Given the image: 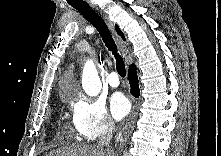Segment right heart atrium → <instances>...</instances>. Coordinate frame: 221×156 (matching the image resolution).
<instances>
[{"label":"right heart atrium","mask_w":221,"mask_h":156,"mask_svg":"<svg viewBox=\"0 0 221 156\" xmlns=\"http://www.w3.org/2000/svg\"><path fill=\"white\" fill-rule=\"evenodd\" d=\"M72 124L77 136L85 142H93L111 134L115 124L104 104L84 95L71 103Z\"/></svg>","instance_id":"obj_1"}]
</instances>
